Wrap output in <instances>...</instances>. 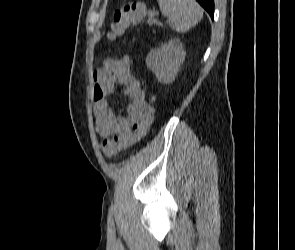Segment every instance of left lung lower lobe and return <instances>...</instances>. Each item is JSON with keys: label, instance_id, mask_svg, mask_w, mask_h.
I'll return each mask as SVG.
<instances>
[{"label": "left lung lower lobe", "instance_id": "obj_1", "mask_svg": "<svg viewBox=\"0 0 295 250\" xmlns=\"http://www.w3.org/2000/svg\"><path fill=\"white\" fill-rule=\"evenodd\" d=\"M213 18L214 15V0H196Z\"/></svg>", "mask_w": 295, "mask_h": 250}]
</instances>
